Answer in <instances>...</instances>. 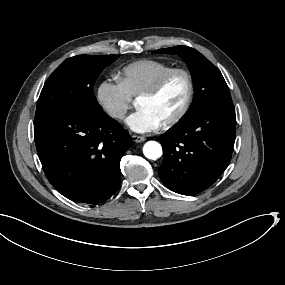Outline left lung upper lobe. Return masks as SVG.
I'll return each instance as SVG.
<instances>
[{
  "instance_id": "1",
  "label": "left lung upper lobe",
  "mask_w": 285,
  "mask_h": 285,
  "mask_svg": "<svg viewBox=\"0 0 285 285\" xmlns=\"http://www.w3.org/2000/svg\"><path fill=\"white\" fill-rule=\"evenodd\" d=\"M155 52L178 54L189 66L194 81L195 97L183 117L192 116L209 106H233L228 86L221 72L197 50L187 46H176Z\"/></svg>"
}]
</instances>
